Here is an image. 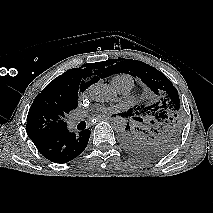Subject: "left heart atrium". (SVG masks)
Listing matches in <instances>:
<instances>
[{
  "instance_id": "left-heart-atrium-1",
  "label": "left heart atrium",
  "mask_w": 213,
  "mask_h": 213,
  "mask_svg": "<svg viewBox=\"0 0 213 213\" xmlns=\"http://www.w3.org/2000/svg\"><path fill=\"white\" fill-rule=\"evenodd\" d=\"M115 110L114 107H100L96 110V113L99 115L98 117L100 116H103V115H106L110 112H113Z\"/></svg>"
}]
</instances>
